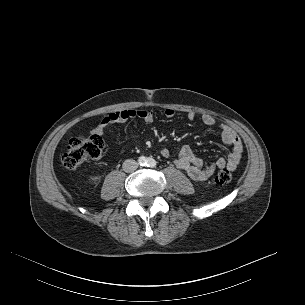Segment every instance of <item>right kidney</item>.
<instances>
[{
    "label": "right kidney",
    "instance_id": "1",
    "mask_svg": "<svg viewBox=\"0 0 305 305\" xmlns=\"http://www.w3.org/2000/svg\"><path fill=\"white\" fill-rule=\"evenodd\" d=\"M91 180H92V181H96V180H97V177H96V176H93V177H91Z\"/></svg>",
    "mask_w": 305,
    "mask_h": 305
}]
</instances>
